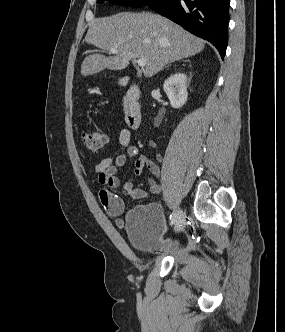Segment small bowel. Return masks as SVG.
Listing matches in <instances>:
<instances>
[{"mask_svg": "<svg viewBox=\"0 0 285 332\" xmlns=\"http://www.w3.org/2000/svg\"><path fill=\"white\" fill-rule=\"evenodd\" d=\"M118 141L121 146L114 156L103 158L94 168L98 182L106 187L99 190L98 195L102 206L107 214L116 220L118 227H123L124 222L120 218L124 213L125 205L123 199L116 193L131 197L132 199H142L148 196V192L134 186V178L141 175L147 168L155 177H160V167L145 155H140L139 148L131 145V131L122 128L118 134ZM135 159L133 176L124 184L117 176V171L124 166L127 159ZM161 185L155 180H149V191L152 194H158L161 191Z\"/></svg>", "mask_w": 285, "mask_h": 332, "instance_id": "c3829d8e", "label": "small bowel"}]
</instances>
